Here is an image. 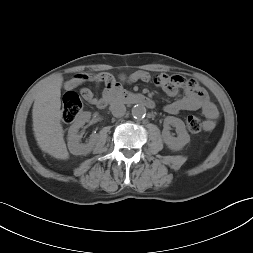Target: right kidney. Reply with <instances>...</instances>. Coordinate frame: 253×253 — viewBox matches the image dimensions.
Instances as JSON below:
<instances>
[{
	"label": "right kidney",
	"mask_w": 253,
	"mask_h": 253,
	"mask_svg": "<svg viewBox=\"0 0 253 253\" xmlns=\"http://www.w3.org/2000/svg\"><path fill=\"white\" fill-rule=\"evenodd\" d=\"M91 114L89 112H84L81 114L77 120L70 126L68 131V148L70 153L73 155H87L89 154L95 144L98 141V135L92 134L87 144H80L81 136L78 134L80 128L84 126L86 122L89 121Z\"/></svg>",
	"instance_id": "ca27d5eb"
}]
</instances>
